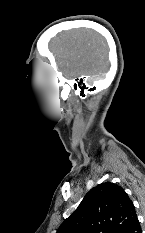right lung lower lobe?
<instances>
[{"label":"right lung lower lobe","mask_w":145,"mask_h":233,"mask_svg":"<svg viewBox=\"0 0 145 233\" xmlns=\"http://www.w3.org/2000/svg\"><path fill=\"white\" fill-rule=\"evenodd\" d=\"M127 233H142L140 223L137 218L135 219Z\"/></svg>","instance_id":"obj_1"}]
</instances>
